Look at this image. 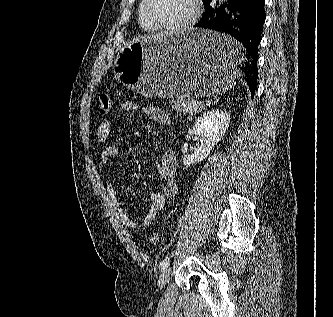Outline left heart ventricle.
<instances>
[{
  "label": "left heart ventricle",
  "mask_w": 333,
  "mask_h": 317,
  "mask_svg": "<svg viewBox=\"0 0 333 317\" xmlns=\"http://www.w3.org/2000/svg\"><path fill=\"white\" fill-rule=\"evenodd\" d=\"M191 0H151L150 13L164 24H180L191 14Z\"/></svg>",
  "instance_id": "left-heart-ventricle-1"
}]
</instances>
